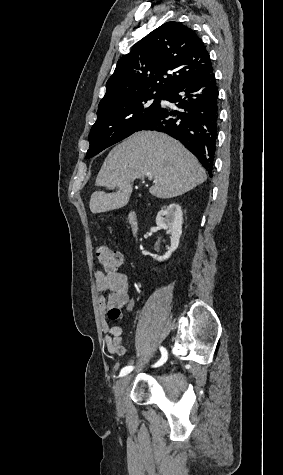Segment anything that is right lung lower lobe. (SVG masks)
Returning a JSON list of instances; mask_svg holds the SVG:
<instances>
[{
	"mask_svg": "<svg viewBox=\"0 0 283 475\" xmlns=\"http://www.w3.org/2000/svg\"><path fill=\"white\" fill-rule=\"evenodd\" d=\"M177 110L160 107L137 131L164 132L191 151L212 177L219 100L213 70L174 86L164 97Z\"/></svg>",
	"mask_w": 283,
	"mask_h": 475,
	"instance_id": "right-lung-lower-lobe-1",
	"label": "right lung lower lobe"
}]
</instances>
